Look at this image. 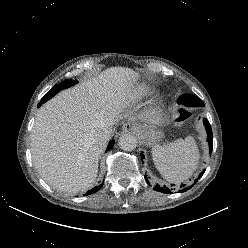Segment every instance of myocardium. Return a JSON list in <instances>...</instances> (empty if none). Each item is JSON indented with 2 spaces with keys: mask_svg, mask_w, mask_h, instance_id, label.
I'll return each instance as SVG.
<instances>
[{
  "mask_svg": "<svg viewBox=\"0 0 248 248\" xmlns=\"http://www.w3.org/2000/svg\"><path fill=\"white\" fill-rule=\"evenodd\" d=\"M166 101L164 97H158L150 106L147 117L153 121L160 120L165 112Z\"/></svg>",
  "mask_w": 248,
  "mask_h": 248,
  "instance_id": "obj_1",
  "label": "myocardium"
}]
</instances>
